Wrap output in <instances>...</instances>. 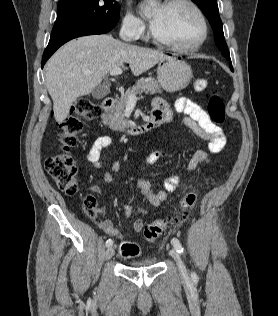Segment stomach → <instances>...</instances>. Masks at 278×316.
I'll use <instances>...</instances> for the list:
<instances>
[{"instance_id":"0dacf381","label":"stomach","mask_w":278,"mask_h":316,"mask_svg":"<svg viewBox=\"0 0 278 316\" xmlns=\"http://www.w3.org/2000/svg\"><path fill=\"white\" fill-rule=\"evenodd\" d=\"M192 77V69L184 60L168 56L158 64V83L168 92H176L186 88Z\"/></svg>"}]
</instances>
